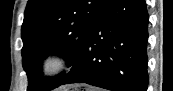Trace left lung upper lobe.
I'll list each match as a JSON object with an SVG mask.
<instances>
[{
	"label": "left lung upper lobe",
	"mask_w": 173,
	"mask_h": 91,
	"mask_svg": "<svg viewBox=\"0 0 173 91\" xmlns=\"http://www.w3.org/2000/svg\"><path fill=\"white\" fill-rule=\"evenodd\" d=\"M109 0H28L21 37L27 91H49L65 78L45 79L40 63L47 55L64 56L69 66L79 58L82 46Z\"/></svg>",
	"instance_id": "5c2ea615"
}]
</instances>
